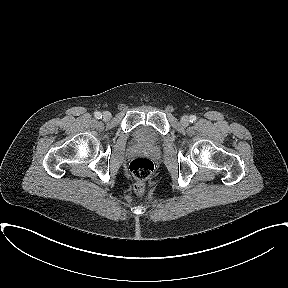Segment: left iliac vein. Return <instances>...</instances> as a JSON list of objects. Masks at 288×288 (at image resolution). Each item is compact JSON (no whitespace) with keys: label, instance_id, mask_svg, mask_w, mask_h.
Returning <instances> with one entry per match:
<instances>
[{"label":"left iliac vein","instance_id":"left-iliac-vein-1","mask_svg":"<svg viewBox=\"0 0 288 288\" xmlns=\"http://www.w3.org/2000/svg\"><path fill=\"white\" fill-rule=\"evenodd\" d=\"M181 124H182L183 126H188V124H189V118H188V116L184 115V116L181 117Z\"/></svg>","mask_w":288,"mask_h":288}]
</instances>
